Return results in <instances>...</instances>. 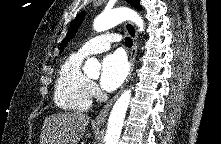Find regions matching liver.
Returning <instances> with one entry per match:
<instances>
[{"label":"liver","mask_w":221,"mask_h":144,"mask_svg":"<svg viewBox=\"0 0 221 144\" xmlns=\"http://www.w3.org/2000/svg\"><path fill=\"white\" fill-rule=\"evenodd\" d=\"M90 117L79 112H65L45 118L40 144H78Z\"/></svg>","instance_id":"1"}]
</instances>
